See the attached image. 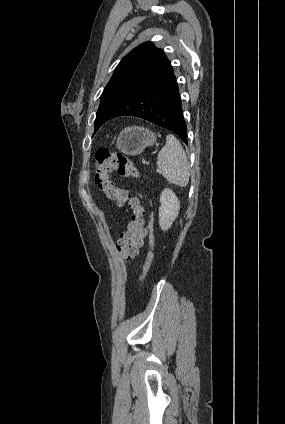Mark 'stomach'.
<instances>
[{"instance_id": "1", "label": "stomach", "mask_w": 285, "mask_h": 424, "mask_svg": "<svg viewBox=\"0 0 285 424\" xmlns=\"http://www.w3.org/2000/svg\"><path fill=\"white\" fill-rule=\"evenodd\" d=\"M117 148L125 154H140L147 146L157 143V135L143 127H126L117 138Z\"/></svg>"}]
</instances>
